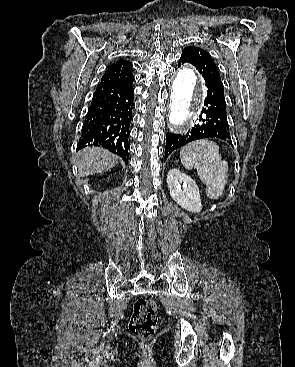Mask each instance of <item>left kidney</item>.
<instances>
[{"label":"left kidney","instance_id":"obj_1","mask_svg":"<svg viewBox=\"0 0 295 367\" xmlns=\"http://www.w3.org/2000/svg\"><path fill=\"white\" fill-rule=\"evenodd\" d=\"M167 184L172 199L182 208L192 213L202 210L199 188L190 176L174 168L167 175Z\"/></svg>","mask_w":295,"mask_h":367}]
</instances>
